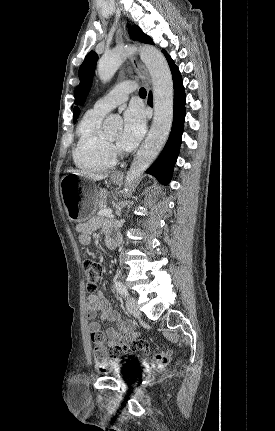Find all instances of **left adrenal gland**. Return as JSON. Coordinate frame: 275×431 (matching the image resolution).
I'll return each mask as SVG.
<instances>
[{"instance_id": "1", "label": "left adrenal gland", "mask_w": 275, "mask_h": 431, "mask_svg": "<svg viewBox=\"0 0 275 431\" xmlns=\"http://www.w3.org/2000/svg\"><path fill=\"white\" fill-rule=\"evenodd\" d=\"M116 208H117V210H116V215H117V216H120V215H121V207H120V206H117Z\"/></svg>"}]
</instances>
